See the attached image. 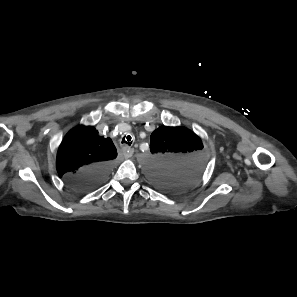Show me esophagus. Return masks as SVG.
Segmentation results:
<instances>
[{
	"label": "esophagus",
	"instance_id": "esophagus-1",
	"mask_svg": "<svg viewBox=\"0 0 297 297\" xmlns=\"http://www.w3.org/2000/svg\"><path fill=\"white\" fill-rule=\"evenodd\" d=\"M122 152H123V155L125 156V158H130L134 153V149L130 148L129 146H123Z\"/></svg>",
	"mask_w": 297,
	"mask_h": 297
}]
</instances>
